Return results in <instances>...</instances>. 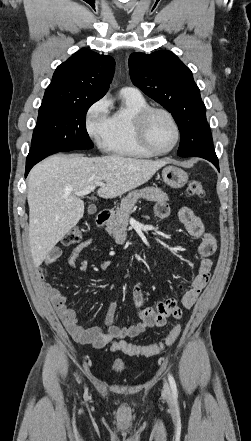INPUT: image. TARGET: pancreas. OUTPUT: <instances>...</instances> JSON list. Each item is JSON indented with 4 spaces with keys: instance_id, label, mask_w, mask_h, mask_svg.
<instances>
[{
    "instance_id": "pancreas-1",
    "label": "pancreas",
    "mask_w": 251,
    "mask_h": 441,
    "mask_svg": "<svg viewBox=\"0 0 251 441\" xmlns=\"http://www.w3.org/2000/svg\"><path fill=\"white\" fill-rule=\"evenodd\" d=\"M140 198L154 202H166L169 200L167 194L157 187H145L131 191L122 199L120 207L116 209L115 215L108 221L106 227L108 234L113 236L118 244H122L126 240L129 215Z\"/></svg>"
}]
</instances>
